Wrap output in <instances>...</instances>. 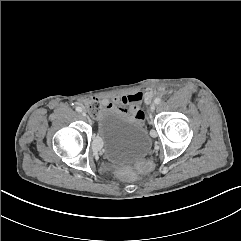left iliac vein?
<instances>
[{"label":"left iliac vein","mask_w":241,"mask_h":241,"mask_svg":"<svg viewBox=\"0 0 241 241\" xmlns=\"http://www.w3.org/2000/svg\"><path fill=\"white\" fill-rule=\"evenodd\" d=\"M154 110H155V105L152 104V105L150 106V111L153 112Z\"/></svg>","instance_id":"left-iliac-vein-1"}]
</instances>
